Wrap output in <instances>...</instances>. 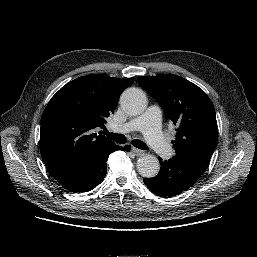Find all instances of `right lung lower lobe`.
<instances>
[{"mask_svg": "<svg viewBox=\"0 0 257 257\" xmlns=\"http://www.w3.org/2000/svg\"><path fill=\"white\" fill-rule=\"evenodd\" d=\"M130 145L125 147L112 146L105 151L75 166L68 172L55 178L65 189L71 192H87L103 181L107 171L109 154L116 150L129 151Z\"/></svg>", "mask_w": 257, "mask_h": 257, "instance_id": "obj_1", "label": "right lung lower lobe"}]
</instances>
